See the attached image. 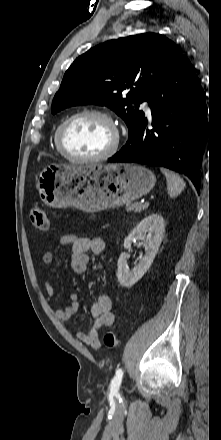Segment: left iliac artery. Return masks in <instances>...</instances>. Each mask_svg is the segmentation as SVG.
<instances>
[{
	"label": "left iliac artery",
	"instance_id": "1",
	"mask_svg": "<svg viewBox=\"0 0 221 440\" xmlns=\"http://www.w3.org/2000/svg\"><path fill=\"white\" fill-rule=\"evenodd\" d=\"M122 377H123V370L121 368H119L116 370V374L110 384L111 393H113V394L118 393L119 387L122 382Z\"/></svg>",
	"mask_w": 221,
	"mask_h": 440
}]
</instances>
